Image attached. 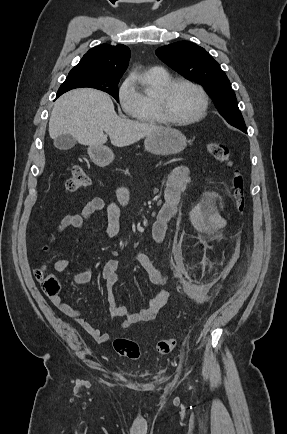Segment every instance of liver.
Returning a JSON list of instances; mask_svg holds the SVG:
<instances>
[{
  "mask_svg": "<svg viewBox=\"0 0 287 434\" xmlns=\"http://www.w3.org/2000/svg\"><path fill=\"white\" fill-rule=\"evenodd\" d=\"M163 128L118 117L110 96L89 88L62 95L55 102L49 120L52 139L71 135L89 146H103L107 136L114 146H129Z\"/></svg>",
  "mask_w": 287,
  "mask_h": 434,
  "instance_id": "6515ba94",
  "label": "liver"
}]
</instances>
